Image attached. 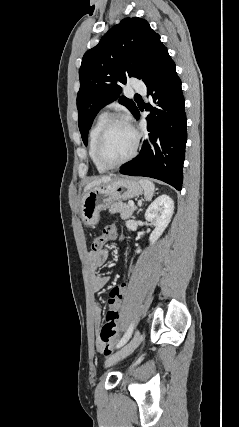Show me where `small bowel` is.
<instances>
[{
	"label": "small bowel",
	"mask_w": 239,
	"mask_h": 427,
	"mask_svg": "<svg viewBox=\"0 0 239 427\" xmlns=\"http://www.w3.org/2000/svg\"><path fill=\"white\" fill-rule=\"evenodd\" d=\"M117 229V228H116ZM109 252L107 249H101L97 253H88L87 264L91 271L90 282L94 292L102 290L108 282V277L97 274V270L107 261ZM93 314L96 321H100L102 316V307L96 302L93 307ZM97 349L103 351L104 344L101 340L97 341Z\"/></svg>",
	"instance_id": "obj_1"
}]
</instances>
